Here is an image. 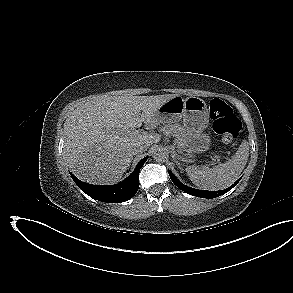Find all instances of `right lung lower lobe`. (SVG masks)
Returning a JSON list of instances; mask_svg holds the SVG:
<instances>
[{"label":"right lung lower lobe","instance_id":"98d812e1","mask_svg":"<svg viewBox=\"0 0 293 293\" xmlns=\"http://www.w3.org/2000/svg\"><path fill=\"white\" fill-rule=\"evenodd\" d=\"M146 160L147 157L143 158L132 174L116 185L96 186L80 181L72 173L71 176L77 186L90 197L102 202L120 203L129 200L137 192L139 188V171Z\"/></svg>","mask_w":293,"mask_h":293}]
</instances>
